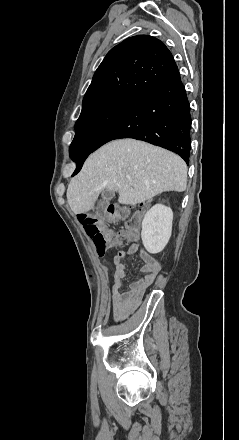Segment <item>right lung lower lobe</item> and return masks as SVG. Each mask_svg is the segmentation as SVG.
<instances>
[{"label": "right lung lower lobe", "instance_id": "1", "mask_svg": "<svg viewBox=\"0 0 239 440\" xmlns=\"http://www.w3.org/2000/svg\"><path fill=\"white\" fill-rule=\"evenodd\" d=\"M190 105L175 66L146 92L135 97L119 118L97 139L90 151L72 153L75 175L90 153L108 141L133 138L160 146L180 155L189 163L191 149Z\"/></svg>", "mask_w": 239, "mask_h": 440}]
</instances>
